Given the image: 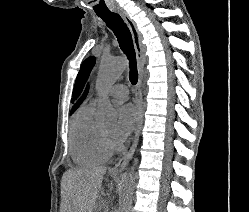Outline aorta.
<instances>
[{"label":"aorta","instance_id":"1","mask_svg":"<svg viewBox=\"0 0 249 212\" xmlns=\"http://www.w3.org/2000/svg\"><path fill=\"white\" fill-rule=\"evenodd\" d=\"M126 65V59L122 57L107 59L101 62L96 81V87L99 95H105L108 88L111 87L124 72ZM98 114L103 120H113L117 116L115 108L105 96L99 105ZM134 185V171L130 170L126 174L121 185L118 201L119 207L117 212H130Z\"/></svg>","mask_w":249,"mask_h":212}]
</instances>
